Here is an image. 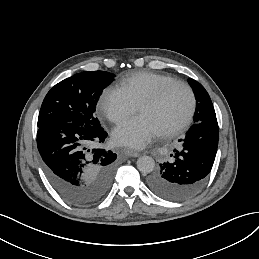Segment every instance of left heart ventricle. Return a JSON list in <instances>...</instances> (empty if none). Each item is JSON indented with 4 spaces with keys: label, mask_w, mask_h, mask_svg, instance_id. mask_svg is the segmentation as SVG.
<instances>
[{
    "label": "left heart ventricle",
    "mask_w": 259,
    "mask_h": 259,
    "mask_svg": "<svg viewBox=\"0 0 259 259\" xmlns=\"http://www.w3.org/2000/svg\"><path fill=\"white\" fill-rule=\"evenodd\" d=\"M188 106L189 95L187 91L181 86H175L158 104L141 108L139 116L145 117L162 133L184 118Z\"/></svg>",
    "instance_id": "left-heart-ventricle-1"
}]
</instances>
